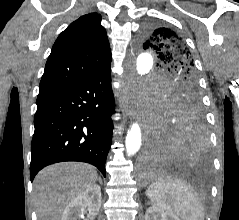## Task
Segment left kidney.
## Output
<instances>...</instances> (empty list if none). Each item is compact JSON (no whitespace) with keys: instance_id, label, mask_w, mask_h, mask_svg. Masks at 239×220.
Returning a JSON list of instances; mask_svg holds the SVG:
<instances>
[{"instance_id":"1","label":"left kidney","mask_w":239,"mask_h":220,"mask_svg":"<svg viewBox=\"0 0 239 220\" xmlns=\"http://www.w3.org/2000/svg\"><path fill=\"white\" fill-rule=\"evenodd\" d=\"M145 220H180L173 212L164 211L157 206H151L146 210Z\"/></svg>"}]
</instances>
